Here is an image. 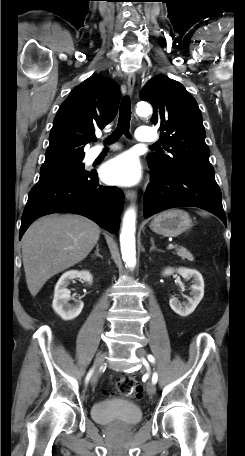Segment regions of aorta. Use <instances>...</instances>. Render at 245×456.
<instances>
[{
	"label": "aorta",
	"instance_id": "762f6f07",
	"mask_svg": "<svg viewBox=\"0 0 245 456\" xmlns=\"http://www.w3.org/2000/svg\"><path fill=\"white\" fill-rule=\"evenodd\" d=\"M136 113L139 116H149L152 113V107L146 102H140L137 104ZM135 224L136 211L131 207L125 212L120 233L122 259L129 267H134L136 265Z\"/></svg>",
	"mask_w": 245,
	"mask_h": 456
}]
</instances>
